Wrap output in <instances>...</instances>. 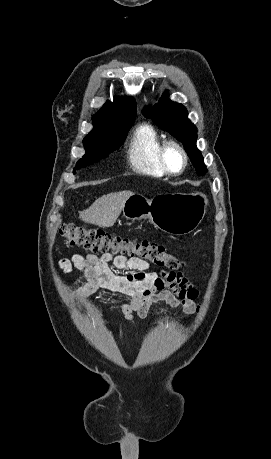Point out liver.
<instances>
[{"mask_svg": "<svg viewBox=\"0 0 271 459\" xmlns=\"http://www.w3.org/2000/svg\"><path fill=\"white\" fill-rule=\"evenodd\" d=\"M131 196H134L133 192L107 194V196L95 200L88 210L79 212V216L87 224H95L100 228H111L119 218L125 202Z\"/></svg>", "mask_w": 271, "mask_h": 459, "instance_id": "1", "label": "liver"}]
</instances>
